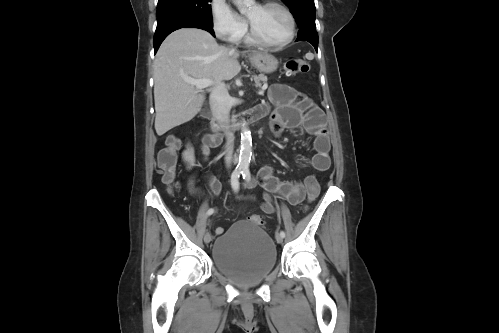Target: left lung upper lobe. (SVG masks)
<instances>
[{"label":"left lung upper lobe","instance_id":"left-lung-upper-lobe-1","mask_svg":"<svg viewBox=\"0 0 499 333\" xmlns=\"http://www.w3.org/2000/svg\"><path fill=\"white\" fill-rule=\"evenodd\" d=\"M291 10L299 28H316L314 0H282Z\"/></svg>","mask_w":499,"mask_h":333}]
</instances>
